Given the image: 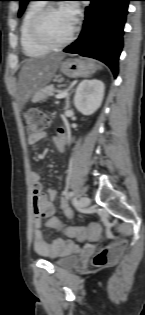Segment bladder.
Returning a JSON list of instances; mask_svg holds the SVG:
<instances>
[{
	"label": "bladder",
	"mask_w": 145,
	"mask_h": 315,
	"mask_svg": "<svg viewBox=\"0 0 145 315\" xmlns=\"http://www.w3.org/2000/svg\"><path fill=\"white\" fill-rule=\"evenodd\" d=\"M58 268H72L79 263L78 255L75 252L63 254L61 257L51 260Z\"/></svg>",
	"instance_id": "bladder-1"
}]
</instances>
